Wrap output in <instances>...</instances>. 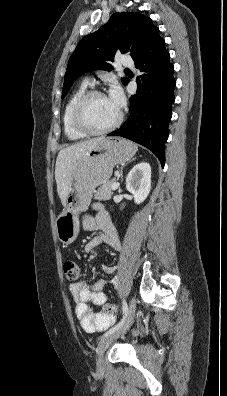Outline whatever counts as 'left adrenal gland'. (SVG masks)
I'll list each match as a JSON object with an SVG mask.
<instances>
[{"instance_id": "left-adrenal-gland-1", "label": "left adrenal gland", "mask_w": 227, "mask_h": 396, "mask_svg": "<svg viewBox=\"0 0 227 396\" xmlns=\"http://www.w3.org/2000/svg\"><path fill=\"white\" fill-rule=\"evenodd\" d=\"M122 170H123V168H121V172H120L121 179L123 178Z\"/></svg>"}]
</instances>
